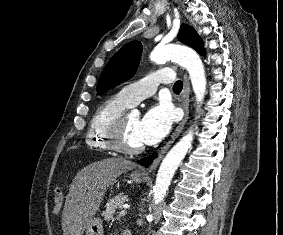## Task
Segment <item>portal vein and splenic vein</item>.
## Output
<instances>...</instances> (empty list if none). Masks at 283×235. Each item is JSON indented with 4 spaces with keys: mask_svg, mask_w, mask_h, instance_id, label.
I'll list each match as a JSON object with an SVG mask.
<instances>
[{
    "mask_svg": "<svg viewBox=\"0 0 283 235\" xmlns=\"http://www.w3.org/2000/svg\"><path fill=\"white\" fill-rule=\"evenodd\" d=\"M129 206H124L123 209L119 212V216H125L127 214V208Z\"/></svg>",
    "mask_w": 283,
    "mask_h": 235,
    "instance_id": "obj_1",
    "label": "portal vein and splenic vein"
}]
</instances>
